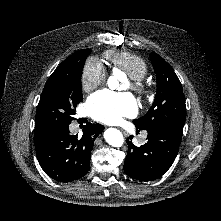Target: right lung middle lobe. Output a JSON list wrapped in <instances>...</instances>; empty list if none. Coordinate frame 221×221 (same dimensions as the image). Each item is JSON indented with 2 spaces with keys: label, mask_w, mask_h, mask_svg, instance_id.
<instances>
[{
  "label": "right lung middle lobe",
  "mask_w": 221,
  "mask_h": 221,
  "mask_svg": "<svg viewBox=\"0 0 221 221\" xmlns=\"http://www.w3.org/2000/svg\"><path fill=\"white\" fill-rule=\"evenodd\" d=\"M90 49L81 50L65 67L56 69L48 79L36 111L34 135H42L74 119L81 102V74Z\"/></svg>",
  "instance_id": "dd1d6c3e"
}]
</instances>
